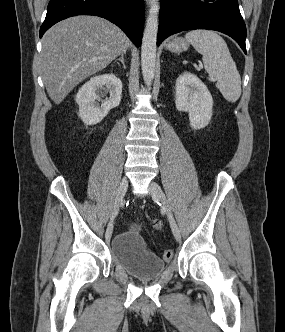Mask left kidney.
Wrapping results in <instances>:
<instances>
[{"label": "left kidney", "instance_id": "5707ae66", "mask_svg": "<svg viewBox=\"0 0 285 332\" xmlns=\"http://www.w3.org/2000/svg\"><path fill=\"white\" fill-rule=\"evenodd\" d=\"M176 108L188 112L190 126L201 129L212 117L213 99L206 85L193 73L184 72L176 80Z\"/></svg>", "mask_w": 285, "mask_h": 332}]
</instances>
